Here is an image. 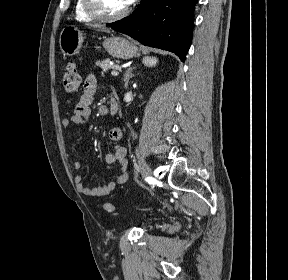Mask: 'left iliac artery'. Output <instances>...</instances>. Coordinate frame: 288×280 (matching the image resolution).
<instances>
[{
    "label": "left iliac artery",
    "instance_id": "obj_1",
    "mask_svg": "<svg viewBox=\"0 0 288 280\" xmlns=\"http://www.w3.org/2000/svg\"><path fill=\"white\" fill-rule=\"evenodd\" d=\"M137 184L139 187H144L145 186L144 179H137Z\"/></svg>",
    "mask_w": 288,
    "mask_h": 280
}]
</instances>
